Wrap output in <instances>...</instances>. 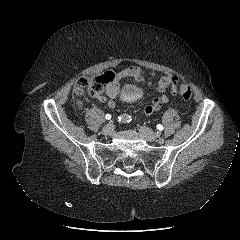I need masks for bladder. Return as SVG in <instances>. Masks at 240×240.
I'll use <instances>...</instances> for the list:
<instances>
[{
  "label": "bladder",
  "mask_w": 240,
  "mask_h": 240,
  "mask_svg": "<svg viewBox=\"0 0 240 240\" xmlns=\"http://www.w3.org/2000/svg\"><path fill=\"white\" fill-rule=\"evenodd\" d=\"M135 92H136V90H135V88H133V87H129V88H126V89L124 90V94H125L127 97H130V96L134 95Z\"/></svg>",
  "instance_id": "31cf9c89"
}]
</instances>
